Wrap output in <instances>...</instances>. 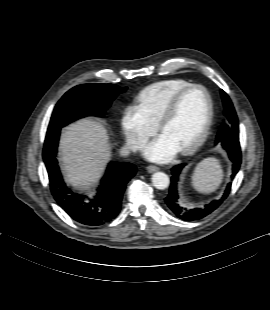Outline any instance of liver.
Instances as JSON below:
<instances>
[{"label": "liver", "instance_id": "liver-1", "mask_svg": "<svg viewBox=\"0 0 270 310\" xmlns=\"http://www.w3.org/2000/svg\"><path fill=\"white\" fill-rule=\"evenodd\" d=\"M59 151L67 183L89 190L111 155L107 130L93 118L80 119L63 129Z\"/></svg>", "mask_w": 270, "mask_h": 310}]
</instances>
